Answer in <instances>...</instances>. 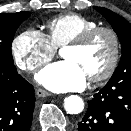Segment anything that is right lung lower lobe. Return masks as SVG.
<instances>
[{
	"label": "right lung lower lobe",
	"mask_w": 131,
	"mask_h": 131,
	"mask_svg": "<svg viewBox=\"0 0 131 131\" xmlns=\"http://www.w3.org/2000/svg\"><path fill=\"white\" fill-rule=\"evenodd\" d=\"M34 106L33 86L14 65L0 63V131H29Z\"/></svg>",
	"instance_id": "obj_1"
}]
</instances>
